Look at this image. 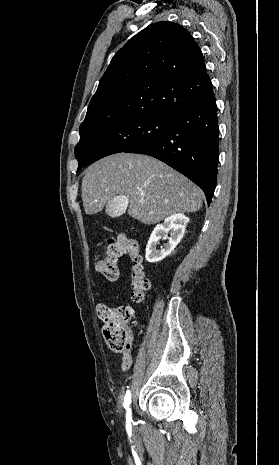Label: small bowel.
I'll use <instances>...</instances> for the list:
<instances>
[{
    "mask_svg": "<svg viewBox=\"0 0 279 465\" xmlns=\"http://www.w3.org/2000/svg\"><path fill=\"white\" fill-rule=\"evenodd\" d=\"M132 356L129 353H125L122 355V360H121V368L123 371H127L130 369L132 365Z\"/></svg>",
    "mask_w": 279,
    "mask_h": 465,
    "instance_id": "obj_1",
    "label": "small bowel"
}]
</instances>
